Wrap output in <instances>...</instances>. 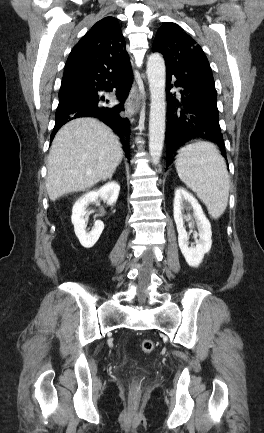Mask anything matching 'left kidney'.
I'll return each instance as SVG.
<instances>
[{"instance_id": "left-kidney-1", "label": "left kidney", "mask_w": 264, "mask_h": 433, "mask_svg": "<svg viewBox=\"0 0 264 433\" xmlns=\"http://www.w3.org/2000/svg\"><path fill=\"white\" fill-rule=\"evenodd\" d=\"M184 202H188L194 211L193 217L199 232V241L195 247H189V237L184 227V216L182 213ZM173 215L177 226L180 250L188 265L197 268L201 264L204 255L211 249V224L197 199L182 187L175 190Z\"/></svg>"}]
</instances>
